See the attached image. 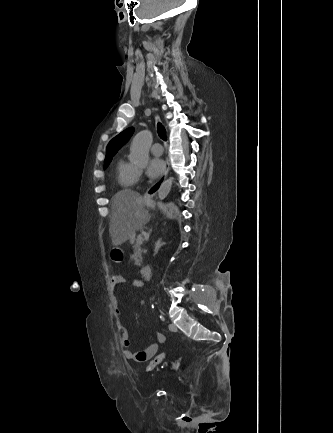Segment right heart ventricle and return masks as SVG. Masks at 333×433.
<instances>
[{
    "label": "right heart ventricle",
    "instance_id": "e07e8e85",
    "mask_svg": "<svg viewBox=\"0 0 333 433\" xmlns=\"http://www.w3.org/2000/svg\"><path fill=\"white\" fill-rule=\"evenodd\" d=\"M116 179L122 189L134 186L139 178L138 168L124 158H119L115 165Z\"/></svg>",
    "mask_w": 333,
    "mask_h": 433
}]
</instances>
